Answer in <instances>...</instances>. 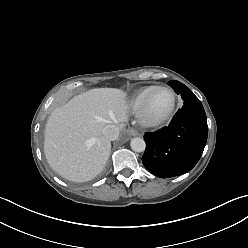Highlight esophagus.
<instances>
[{
  "label": "esophagus",
  "mask_w": 248,
  "mask_h": 248,
  "mask_svg": "<svg viewBox=\"0 0 248 248\" xmlns=\"http://www.w3.org/2000/svg\"><path fill=\"white\" fill-rule=\"evenodd\" d=\"M128 134L130 136H138L139 135L138 131L136 129H134V128H129L128 129Z\"/></svg>",
  "instance_id": "esophagus-1"
}]
</instances>
